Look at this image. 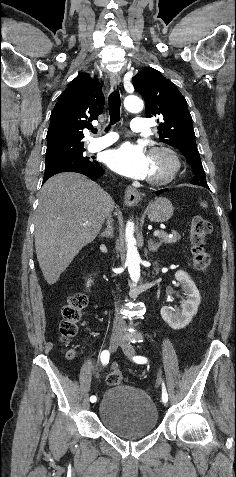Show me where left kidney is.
Instances as JSON below:
<instances>
[{"mask_svg": "<svg viewBox=\"0 0 236 477\" xmlns=\"http://www.w3.org/2000/svg\"><path fill=\"white\" fill-rule=\"evenodd\" d=\"M175 278L181 284L187 300L181 304V310L163 306L161 308V316L172 329L177 330L186 327L192 321L193 316L198 311L201 297L195 283L186 272L182 270L177 271Z\"/></svg>", "mask_w": 236, "mask_h": 477, "instance_id": "left-kidney-1", "label": "left kidney"}]
</instances>
